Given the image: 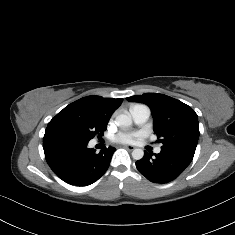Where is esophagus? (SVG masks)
I'll return each mask as SVG.
<instances>
[{"label":"esophagus","mask_w":235,"mask_h":235,"mask_svg":"<svg viewBox=\"0 0 235 235\" xmlns=\"http://www.w3.org/2000/svg\"><path fill=\"white\" fill-rule=\"evenodd\" d=\"M123 148L127 149L128 151H132L135 149V147L131 145H123Z\"/></svg>","instance_id":"obj_1"}]
</instances>
